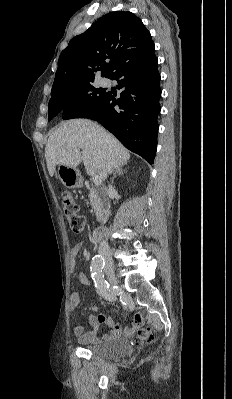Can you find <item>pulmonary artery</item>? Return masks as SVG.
<instances>
[{
  "label": "pulmonary artery",
  "instance_id": "e3ab8cb5",
  "mask_svg": "<svg viewBox=\"0 0 232 399\" xmlns=\"http://www.w3.org/2000/svg\"><path fill=\"white\" fill-rule=\"evenodd\" d=\"M99 84L103 87H106L110 84V81L108 79H100Z\"/></svg>",
  "mask_w": 232,
  "mask_h": 399
}]
</instances>
